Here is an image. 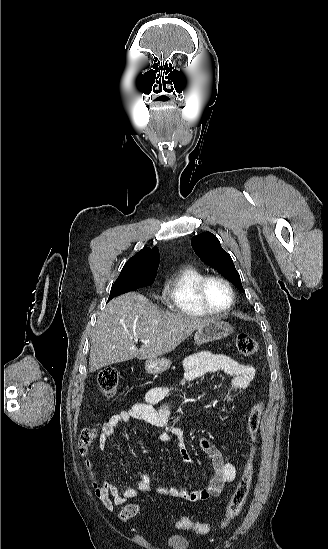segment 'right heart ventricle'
I'll return each instance as SVG.
<instances>
[{
  "label": "right heart ventricle",
  "mask_w": 328,
  "mask_h": 549,
  "mask_svg": "<svg viewBox=\"0 0 328 549\" xmlns=\"http://www.w3.org/2000/svg\"><path fill=\"white\" fill-rule=\"evenodd\" d=\"M205 276L206 272L199 266H187L173 272L156 297L158 303H175V310H179V319L208 318L196 309L199 305L197 286Z\"/></svg>",
  "instance_id": "right-heart-ventricle-1"
}]
</instances>
